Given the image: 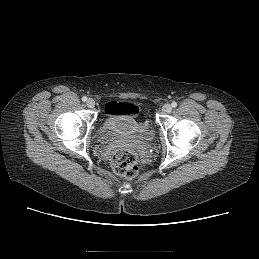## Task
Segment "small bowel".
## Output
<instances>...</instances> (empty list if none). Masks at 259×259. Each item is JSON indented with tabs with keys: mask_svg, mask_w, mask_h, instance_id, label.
<instances>
[{
	"mask_svg": "<svg viewBox=\"0 0 259 259\" xmlns=\"http://www.w3.org/2000/svg\"><path fill=\"white\" fill-rule=\"evenodd\" d=\"M126 103H118L116 101L108 102L105 105V112L110 114H124L121 110L122 105ZM136 108V107H135ZM136 113V112H135Z\"/></svg>",
	"mask_w": 259,
	"mask_h": 259,
	"instance_id": "c3829d8e",
	"label": "small bowel"
}]
</instances>
